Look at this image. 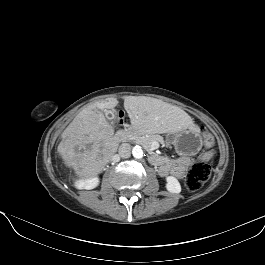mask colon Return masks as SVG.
<instances>
[{"label":"colon","mask_w":265,"mask_h":265,"mask_svg":"<svg viewBox=\"0 0 265 265\" xmlns=\"http://www.w3.org/2000/svg\"><path fill=\"white\" fill-rule=\"evenodd\" d=\"M124 113L118 112L117 123L122 125L124 123ZM213 143V139L210 135L205 136V144L210 147ZM211 166L209 163L200 161L193 164L186 176V187L190 191H198L202 188L203 184L210 178Z\"/></svg>","instance_id":"5ec220e1"}]
</instances>
